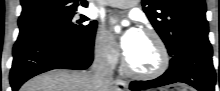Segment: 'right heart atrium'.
I'll return each instance as SVG.
<instances>
[{
  "label": "right heart atrium",
  "mask_w": 220,
  "mask_h": 91,
  "mask_svg": "<svg viewBox=\"0 0 220 91\" xmlns=\"http://www.w3.org/2000/svg\"><path fill=\"white\" fill-rule=\"evenodd\" d=\"M93 48L96 57L107 66H114L118 60V49L111 35L103 29H98L94 40Z\"/></svg>",
  "instance_id": "obj_1"
}]
</instances>
